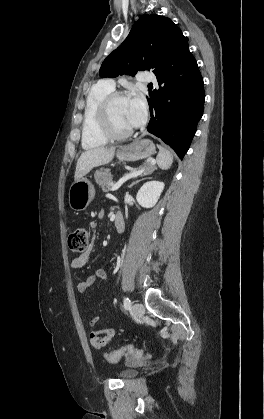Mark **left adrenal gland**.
<instances>
[{"label": "left adrenal gland", "instance_id": "1", "mask_svg": "<svg viewBox=\"0 0 264 419\" xmlns=\"http://www.w3.org/2000/svg\"><path fill=\"white\" fill-rule=\"evenodd\" d=\"M144 179H145V178H141V179H138V180H136V181L132 182V184H130V185H129V188L133 187L135 184L139 183L140 181H142V180H144Z\"/></svg>", "mask_w": 264, "mask_h": 419}]
</instances>
